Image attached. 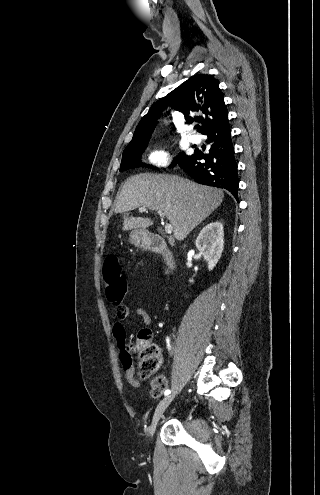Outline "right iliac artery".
<instances>
[{"label": "right iliac artery", "instance_id": "obj_1", "mask_svg": "<svg viewBox=\"0 0 320 495\" xmlns=\"http://www.w3.org/2000/svg\"><path fill=\"white\" fill-rule=\"evenodd\" d=\"M167 347L169 348L170 347V344H169V339L167 338ZM171 393V391L169 389L165 390L164 392V395H169Z\"/></svg>", "mask_w": 320, "mask_h": 495}]
</instances>
